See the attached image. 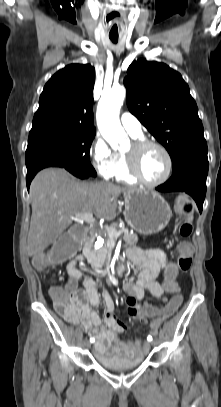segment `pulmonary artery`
I'll use <instances>...</instances> for the list:
<instances>
[{"label":"pulmonary artery","mask_w":221,"mask_h":407,"mask_svg":"<svg viewBox=\"0 0 221 407\" xmlns=\"http://www.w3.org/2000/svg\"><path fill=\"white\" fill-rule=\"evenodd\" d=\"M121 124L123 128L133 137L142 135L141 123L139 120L129 112L121 115Z\"/></svg>","instance_id":"e3ab8cb5"}]
</instances>
